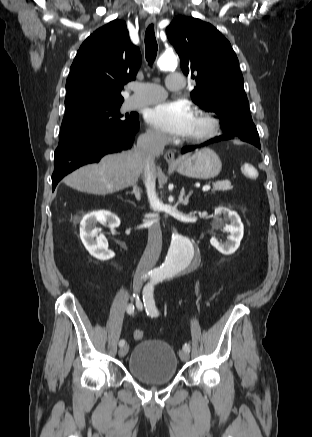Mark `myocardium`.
<instances>
[{
	"label": "myocardium",
	"mask_w": 312,
	"mask_h": 437,
	"mask_svg": "<svg viewBox=\"0 0 312 437\" xmlns=\"http://www.w3.org/2000/svg\"><path fill=\"white\" fill-rule=\"evenodd\" d=\"M195 117L202 122L203 126L200 131L186 139L187 143H203L213 138L217 134V132L219 131L220 123L213 114L204 110H197L195 112Z\"/></svg>",
	"instance_id": "f54148a6"
}]
</instances>
